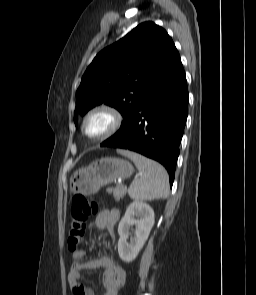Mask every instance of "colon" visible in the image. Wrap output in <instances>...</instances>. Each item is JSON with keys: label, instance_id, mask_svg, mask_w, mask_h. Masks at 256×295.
I'll list each match as a JSON object with an SVG mask.
<instances>
[{"label": "colon", "instance_id": "colon-1", "mask_svg": "<svg viewBox=\"0 0 256 295\" xmlns=\"http://www.w3.org/2000/svg\"><path fill=\"white\" fill-rule=\"evenodd\" d=\"M98 211V204L84 195H75L72 199L68 226V248L77 251L82 243L86 222Z\"/></svg>", "mask_w": 256, "mask_h": 295}]
</instances>
